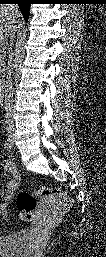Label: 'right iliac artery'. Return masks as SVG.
I'll return each instance as SVG.
<instances>
[{"label":"right iliac artery","instance_id":"82829eb1","mask_svg":"<svg viewBox=\"0 0 106 257\" xmlns=\"http://www.w3.org/2000/svg\"><path fill=\"white\" fill-rule=\"evenodd\" d=\"M11 147H12L11 140H10V138H7L6 141H5V148L8 151H10Z\"/></svg>","mask_w":106,"mask_h":257}]
</instances>
